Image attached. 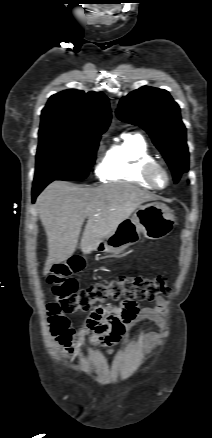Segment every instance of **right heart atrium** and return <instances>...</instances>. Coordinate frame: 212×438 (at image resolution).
Listing matches in <instances>:
<instances>
[{"label":"right heart atrium","instance_id":"obj_1","mask_svg":"<svg viewBox=\"0 0 212 438\" xmlns=\"http://www.w3.org/2000/svg\"><path fill=\"white\" fill-rule=\"evenodd\" d=\"M95 173L99 178H103V173H104L103 160L98 162L96 169H95Z\"/></svg>","mask_w":212,"mask_h":438}]
</instances>
